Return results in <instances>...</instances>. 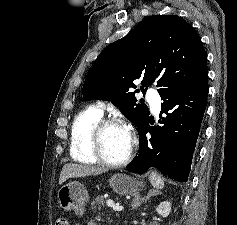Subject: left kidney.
<instances>
[{"label":"left kidney","instance_id":"1","mask_svg":"<svg viewBox=\"0 0 237 225\" xmlns=\"http://www.w3.org/2000/svg\"><path fill=\"white\" fill-rule=\"evenodd\" d=\"M156 211L158 214H160L163 217H168L171 212V204L168 201L161 202L157 208Z\"/></svg>","mask_w":237,"mask_h":225}]
</instances>
